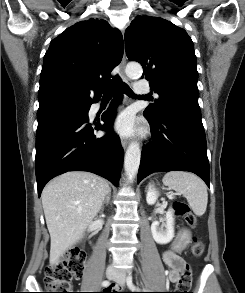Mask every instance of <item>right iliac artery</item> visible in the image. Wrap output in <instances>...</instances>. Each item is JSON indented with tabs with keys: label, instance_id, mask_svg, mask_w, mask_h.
<instances>
[{
	"label": "right iliac artery",
	"instance_id": "obj_1",
	"mask_svg": "<svg viewBox=\"0 0 245 293\" xmlns=\"http://www.w3.org/2000/svg\"><path fill=\"white\" fill-rule=\"evenodd\" d=\"M110 284H111V283H110L109 280H104V281L102 282V286H104V287H108Z\"/></svg>",
	"mask_w": 245,
	"mask_h": 293
}]
</instances>
